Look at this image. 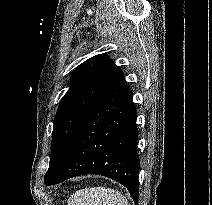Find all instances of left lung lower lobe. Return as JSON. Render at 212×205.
Segmentation results:
<instances>
[{"label":"left lung lower lobe","mask_w":212,"mask_h":205,"mask_svg":"<svg viewBox=\"0 0 212 205\" xmlns=\"http://www.w3.org/2000/svg\"><path fill=\"white\" fill-rule=\"evenodd\" d=\"M137 138L136 108L119 70L83 120L51 185L83 174L103 175L123 184L137 204L140 167Z\"/></svg>","instance_id":"1"}]
</instances>
